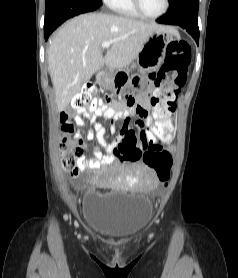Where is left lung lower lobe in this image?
I'll return each instance as SVG.
<instances>
[{"label": "left lung lower lobe", "instance_id": "obj_1", "mask_svg": "<svg viewBox=\"0 0 238 278\" xmlns=\"http://www.w3.org/2000/svg\"><path fill=\"white\" fill-rule=\"evenodd\" d=\"M199 0H171V7L167 14L157 19L160 24L179 25L199 43L198 28Z\"/></svg>", "mask_w": 238, "mask_h": 278}]
</instances>
